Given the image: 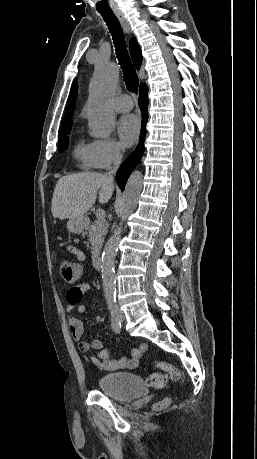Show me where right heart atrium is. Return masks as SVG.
Segmentation results:
<instances>
[{
	"label": "right heart atrium",
	"instance_id": "1",
	"mask_svg": "<svg viewBox=\"0 0 257 459\" xmlns=\"http://www.w3.org/2000/svg\"><path fill=\"white\" fill-rule=\"evenodd\" d=\"M90 150L96 168L106 169L116 163L122 155V146L113 139H95Z\"/></svg>",
	"mask_w": 257,
	"mask_h": 459
}]
</instances>
